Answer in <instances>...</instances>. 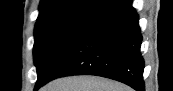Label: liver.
Instances as JSON below:
<instances>
[{
  "mask_svg": "<svg viewBox=\"0 0 173 91\" xmlns=\"http://www.w3.org/2000/svg\"><path fill=\"white\" fill-rule=\"evenodd\" d=\"M41 91H132L128 86L99 76H71L55 79Z\"/></svg>",
  "mask_w": 173,
  "mask_h": 91,
  "instance_id": "liver-1",
  "label": "liver"
}]
</instances>
